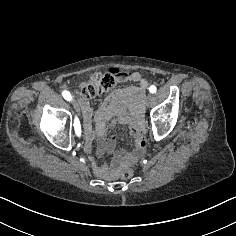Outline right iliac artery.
Wrapping results in <instances>:
<instances>
[{"label": "right iliac artery", "mask_w": 236, "mask_h": 236, "mask_svg": "<svg viewBox=\"0 0 236 236\" xmlns=\"http://www.w3.org/2000/svg\"><path fill=\"white\" fill-rule=\"evenodd\" d=\"M62 95H63L65 100H67V101H71L72 100L70 92L65 90V91L62 92ZM73 126H74V129H75L76 135L80 136L81 135V126H80V121H79V119L77 117H75V119H74Z\"/></svg>", "instance_id": "1"}]
</instances>
